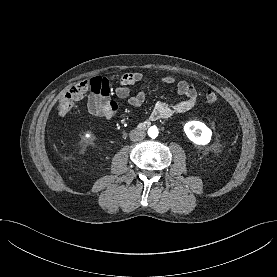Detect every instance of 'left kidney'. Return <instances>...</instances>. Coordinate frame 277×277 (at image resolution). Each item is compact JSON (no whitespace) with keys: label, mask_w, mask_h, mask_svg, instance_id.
Here are the masks:
<instances>
[{"label":"left kidney","mask_w":277,"mask_h":277,"mask_svg":"<svg viewBox=\"0 0 277 277\" xmlns=\"http://www.w3.org/2000/svg\"><path fill=\"white\" fill-rule=\"evenodd\" d=\"M184 132L196 145H207L212 137V131L201 121H189L184 125Z\"/></svg>","instance_id":"left-kidney-1"}]
</instances>
